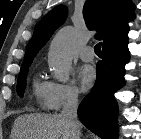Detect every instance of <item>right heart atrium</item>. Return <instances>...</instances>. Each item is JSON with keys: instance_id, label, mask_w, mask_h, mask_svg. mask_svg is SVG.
<instances>
[{"instance_id": "1", "label": "right heart atrium", "mask_w": 141, "mask_h": 139, "mask_svg": "<svg viewBox=\"0 0 141 139\" xmlns=\"http://www.w3.org/2000/svg\"><path fill=\"white\" fill-rule=\"evenodd\" d=\"M79 92L71 83L48 82L46 107L51 111H59L66 106L77 104Z\"/></svg>"}]
</instances>
